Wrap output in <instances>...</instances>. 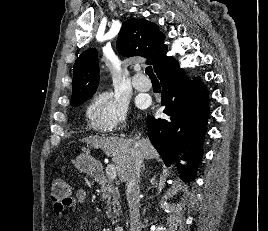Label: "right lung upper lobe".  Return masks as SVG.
<instances>
[{"label": "right lung upper lobe", "instance_id": "cb5924a9", "mask_svg": "<svg viewBox=\"0 0 268 231\" xmlns=\"http://www.w3.org/2000/svg\"><path fill=\"white\" fill-rule=\"evenodd\" d=\"M165 39L156 24L146 19H128L122 24L118 34L117 49L125 57L142 56L154 66L159 75L163 70L177 63L166 56ZM97 51L88 49L76 60L73 69L71 104L89 99L96 91L99 82Z\"/></svg>", "mask_w": 268, "mask_h": 231}]
</instances>
